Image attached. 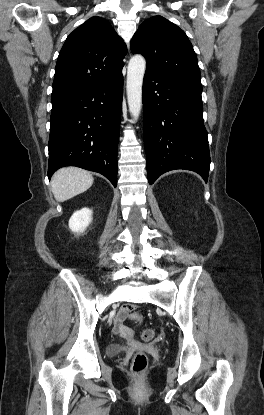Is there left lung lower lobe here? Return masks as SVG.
Segmentation results:
<instances>
[{"label":"left lung lower lobe","instance_id":"0a47b994","mask_svg":"<svg viewBox=\"0 0 264 415\" xmlns=\"http://www.w3.org/2000/svg\"><path fill=\"white\" fill-rule=\"evenodd\" d=\"M201 93V83L145 72L142 101L149 184L174 169L195 171L207 182L210 154Z\"/></svg>","mask_w":264,"mask_h":415}]
</instances>
